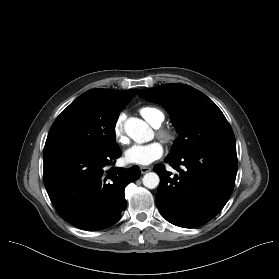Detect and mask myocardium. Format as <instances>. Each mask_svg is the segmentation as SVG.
Segmentation results:
<instances>
[{"mask_svg":"<svg viewBox=\"0 0 279 279\" xmlns=\"http://www.w3.org/2000/svg\"><path fill=\"white\" fill-rule=\"evenodd\" d=\"M157 135L159 138H161L164 142L167 143H170L175 139L174 132L166 128L159 129Z\"/></svg>","mask_w":279,"mask_h":279,"instance_id":"f54148a6","label":"myocardium"}]
</instances>
